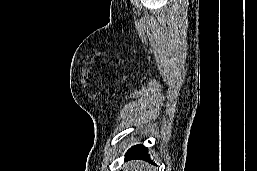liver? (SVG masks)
<instances>
[{
    "mask_svg": "<svg viewBox=\"0 0 257 171\" xmlns=\"http://www.w3.org/2000/svg\"><path fill=\"white\" fill-rule=\"evenodd\" d=\"M129 165H130L131 171H134V170H132L133 168L135 169V171H138V170H136V168H139L140 165H141V167H140L139 171H141V168L144 167V163L143 162H140V163L130 162Z\"/></svg>",
    "mask_w": 257,
    "mask_h": 171,
    "instance_id": "liver-1",
    "label": "liver"
}]
</instances>
